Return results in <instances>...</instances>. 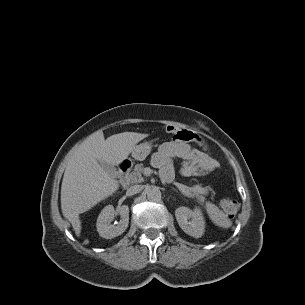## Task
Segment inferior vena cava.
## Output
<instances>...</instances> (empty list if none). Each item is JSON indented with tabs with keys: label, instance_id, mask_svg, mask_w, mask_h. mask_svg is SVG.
I'll use <instances>...</instances> for the list:
<instances>
[{
	"label": "inferior vena cava",
	"instance_id": "inferior-vena-cava-1",
	"mask_svg": "<svg viewBox=\"0 0 305 305\" xmlns=\"http://www.w3.org/2000/svg\"><path fill=\"white\" fill-rule=\"evenodd\" d=\"M142 189H143V187L141 185H133L127 189L126 195L132 196L134 194L139 193Z\"/></svg>",
	"mask_w": 305,
	"mask_h": 305
}]
</instances>
